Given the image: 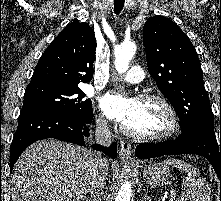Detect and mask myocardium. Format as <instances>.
Instances as JSON below:
<instances>
[{"label":"myocardium","mask_w":221,"mask_h":201,"mask_svg":"<svg viewBox=\"0 0 221 201\" xmlns=\"http://www.w3.org/2000/svg\"><path fill=\"white\" fill-rule=\"evenodd\" d=\"M136 101H155L159 103L167 114L168 128L166 131L162 133L146 134V133L134 132L123 124L121 126V129L125 134L135 139H139V140L162 141V140L170 139L178 132L179 130L178 115L174 107L168 101L167 98L156 93H143V94H139L136 97Z\"/></svg>","instance_id":"f54148a6"}]
</instances>
